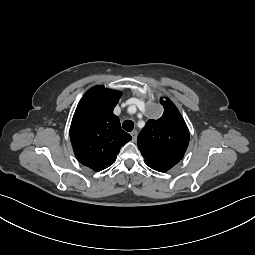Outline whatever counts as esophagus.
<instances>
[{
  "label": "esophagus",
  "mask_w": 255,
  "mask_h": 255,
  "mask_svg": "<svg viewBox=\"0 0 255 255\" xmlns=\"http://www.w3.org/2000/svg\"><path fill=\"white\" fill-rule=\"evenodd\" d=\"M130 134H131V136H132V140H133V141H136V140H137V135H138V134H137V131H136V130H133Z\"/></svg>",
  "instance_id": "esophagus-1"
}]
</instances>
